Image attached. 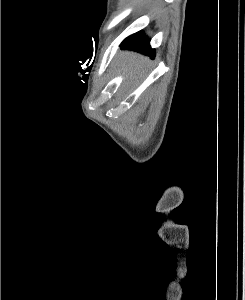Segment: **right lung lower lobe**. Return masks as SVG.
I'll use <instances>...</instances> for the list:
<instances>
[{"label": "right lung lower lobe", "instance_id": "1", "mask_svg": "<svg viewBox=\"0 0 245 300\" xmlns=\"http://www.w3.org/2000/svg\"><path fill=\"white\" fill-rule=\"evenodd\" d=\"M150 40L140 31L127 37L121 44L124 49H132L147 55L155 56L154 49L150 47Z\"/></svg>", "mask_w": 245, "mask_h": 300}]
</instances>
